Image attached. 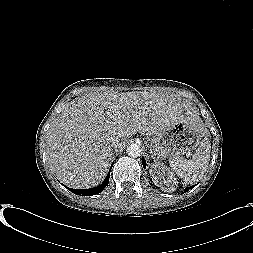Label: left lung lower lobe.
Segmentation results:
<instances>
[{"instance_id": "0a47b994", "label": "left lung lower lobe", "mask_w": 253, "mask_h": 253, "mask_svg": "<svg viewBox=\"0 0 253 253\" xmlns=\"http://www.w3.org/2000/svg\"><path fill=\"white\" fill-rule=\"evenodd\" d=\"M142 162H143V167H145V166H146L145 160L142 159ZM193 187H194V186L187 187V188H186V191H188L189 189H192Z\"/></svg>"}]
</instances>
